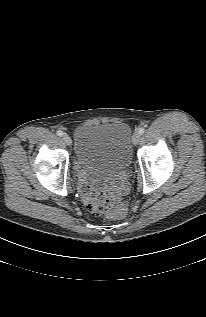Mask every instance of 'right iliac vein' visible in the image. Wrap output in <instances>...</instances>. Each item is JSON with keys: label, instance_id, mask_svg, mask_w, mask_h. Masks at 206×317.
I'll return each mask as SVG.
<instances>
[{"label": "right iliac vein", "instance_id": "63e3f726", "mask_svg": "<svg viewBox=\"0 0 206 317\" xmlns=\"http://www.w3.org/2000/svg\"><path fill=\"white\" fill-rule=\"evenodd\" d=\"M62 139L67 145H71V138L67 134H63Z\"/></svg>", "mask_w": 206, "mask_h": 317}]
</instances>
